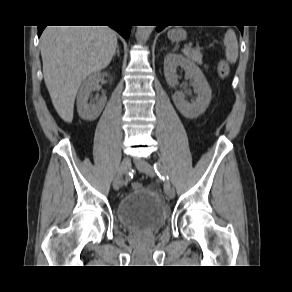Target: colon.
Returning <instances> with one entry per match:
<instances>
[{
    "mask_svg": "<svg viewBox=\"0 0 292 292\" xmlns=\"http://www.w3.org/2000/svg\"><path fill=\"white\" fill-rule=\"evenodd\" d=\"M219 74L222 78L226 77L229 73V66L227 65V63L225 62H220L219 64ZM131 187L135 190V189H139L140 187H142L141 183L139 182H133Z\"/></svg>",
    "mask_w": 292,
    "mask_h": 292,
    "instance_id": "colon-1",
    "label": "colon"
}]
</instances>
